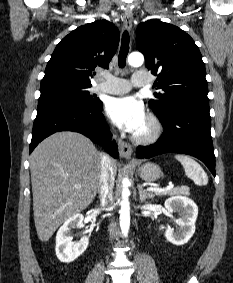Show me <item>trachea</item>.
I'll use <instances>...</instances> for the list:
<instances>
[{"label":"trachea","instance_id":"obj_1","mask_svg":"<svg viewBox=\"0 0 233 283\" xmlns=\"http://www.w3.org/2000/svg\"><path fill=\"white\" fill-rule=\"evenodd\" d=\"M128 52H129V34L127 31H124L122 35L121 48L118 56V64L120 68L125 67V62Z\"/></svg>","mask_w":233,"mask_h":283}]
</instances>
